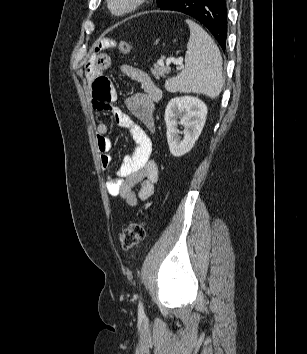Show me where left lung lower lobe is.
Instances as JSON below:
<instances>
[{"label": "left lung lower lobe", "instance_id": "obj_1", "mask_svg": "<svg viewBox=\"0 0 307 354\" xmlns=\"http://www.w3.org/2000/svg\"><path fill=\"white\" fill-rule=\"evenodd\" d=\"M161 10L185 13L201 22L213 34L221 48H226V0H170Z\"/></svg>", "mask_w": 307, "mask_h": 354}]
</instances>
